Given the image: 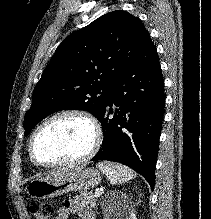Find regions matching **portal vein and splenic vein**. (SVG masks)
<instances>
[{
  "mask_svg": "<svg viewBox=\"0 0 211 219\" xmlns=\"http://www.w3.org/2000/svg\"><path fill=\"white\" fill-rule=\"evenodd\" d=\"M100 195H101V192H100L99 190H96V191H95V196H96V197H99Z\"/></svg>",
  "mask_w": 211,
  "mask_h": 219,
  "instance_id": "1",
  "label": "portal vein and splenic vein"
}]
</instances>
